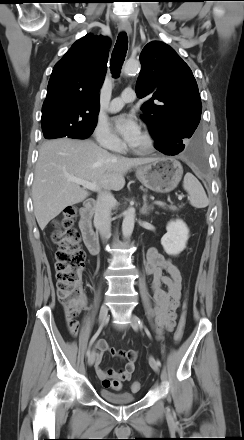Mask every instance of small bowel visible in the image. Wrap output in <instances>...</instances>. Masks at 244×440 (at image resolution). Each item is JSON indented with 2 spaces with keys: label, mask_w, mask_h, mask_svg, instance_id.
<instances>
[{
  "label": "small bowel",
  "mask_w": 244,
  "mask_h": 440,
  "mask_svg": "<svg viewBox=\"0 0 244 440\" xmlns=\"http://www.w3.org/2000/svg\"><path fill=\"white\" fill-rule=\"evenodd\" d=\"M146 272L152 278L153 307L151 313L156 319V331L161 336L165 332H171L176 324L182 290L181 272L172 260L159 253L156 248H150L147 252ZM66 323L69 332L76 335L78 322L66 317ZM95 345L98 350L94 360L98 378L102 382L110 378L121 382L129 381L135 370L138 353L135 350H116L110 347L104 339L98 340ZM106 352L113 357L125 360L123 368L103 369L101 362Z\"/></svg>",
  "instance_id": "obj_1"
}]
</instances>
